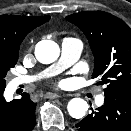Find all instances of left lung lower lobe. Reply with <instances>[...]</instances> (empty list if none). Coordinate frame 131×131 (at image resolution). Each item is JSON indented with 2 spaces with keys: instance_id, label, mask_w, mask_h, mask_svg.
Returning <instances> with one entry per match:
<instances>
[{
  "instance_id": "0a47b994",
  "label": "left lung lower lobe",
  "mask_w": 131,
  "mask_h": 131,
  "mask_svg": "<svg viewBox=\"0 0 131 131\" xmlns=\"http://www.w3.org/2000/svg\"><path fill=\"white\" fill-rule=\"evenodd\" d=\"M76 131H131V103L105 96L104 105L76 124Z\"/></svg>"
}]
</instances>
